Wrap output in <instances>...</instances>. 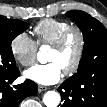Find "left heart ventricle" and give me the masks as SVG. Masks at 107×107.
I'll return each instance as SVG.
<instances>
[{"instance_id": "1", "label": "left heart ventricle", "mask_w": 107, "mask_h": 107, "mask_svg": "<svg viewBox=\"0 0 107 107\" xmlns=\"http://www.w3.org/2000/svg\"><path fill=\"white\" fill-rule=\"evenodd\" d=\"M77 48L78 38L76 35H72L61 50L51 48L48 55V61H55L59 63L64 70L73 63L77 53Z\"/></svg>"}]
</instances>
